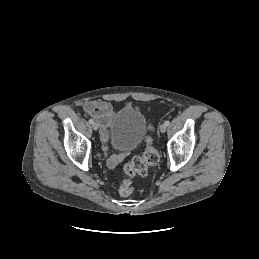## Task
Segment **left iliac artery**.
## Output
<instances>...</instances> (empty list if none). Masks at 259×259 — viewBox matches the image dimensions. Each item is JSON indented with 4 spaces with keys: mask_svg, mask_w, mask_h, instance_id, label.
<instances>
[{
    "mask_svg": "<svg viewBox=\"0 0 259 259\" xmlns=\"http://www.w3.org/2000/svg\"><path fill=\"white\" fill-rule=\"evenodd\" d=\"M165 124H166V126H169L170 121H169V120H166V121H165Z\"/></svg>",
    "mask_w": 259,
    "mask_h": 259,
    "instance_id": "obj_1",
    "label": "left iliac artery"
}]
</instances>
